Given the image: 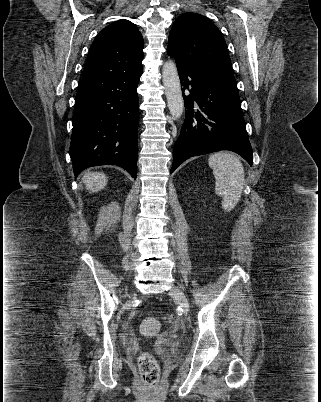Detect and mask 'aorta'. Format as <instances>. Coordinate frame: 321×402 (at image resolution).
<instances>
[{
  "label": "aorta",
  "mask_w": 321,
  "mask_h": 402,
  "mask_svg": "<svg viewBox=\"0 0 321 402\" xmlns=\"http://www.w3.org/2000/svg\"><path fill=\"white\" fill-rule=\"evenodd\" d=\"M162 80L170 114L174 120H177L183 114L184 101L178 71L173 61H167L163 65Z\"/></svg>",
  "instance_id": "aorta-1"
}]
</instances>
